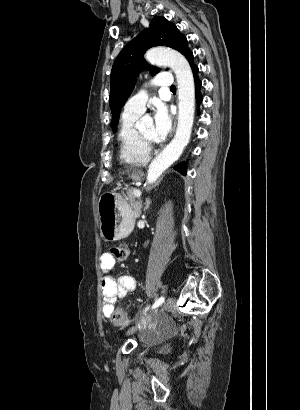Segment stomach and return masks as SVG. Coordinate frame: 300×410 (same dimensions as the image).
<instances>
[{
    "instance_id": "1",
    "label": "stomach",
    "mask_w": 300,
    "mask_h": 410,
    "mask_svg": "<svg viewBox=\"0 0 300 410\" xmlns=\"http://www.w3.org/2000/svg\"><path fill=\"white\" fill-rule=\"evenodd\" d=\"M139 180L136 173L131 175ZM101 236L105 241H116L130 234L134 226V215L130 205L118 193L108 192L100 196L98 206Z\"/></svg>"
}]
</instances>
